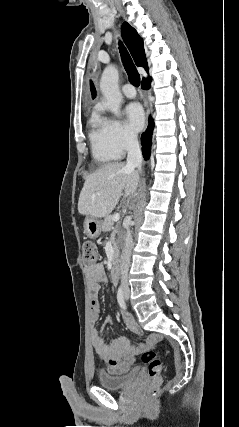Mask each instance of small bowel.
Here are the masks:
<instances>
[{"label": "small bowel", "mask_w": 239, "mask_h": 427, "mask_svg": "<svg viewBox=\"0 0 239 427\" xmlns=\"http://www.w3.org/2000/svg\"><path fill=\"white\" fill-rule=\"evenodd\" d=\"M86 276L90 289L89 317L91 323L95 324L98 321L100 314L98 292L100 290L101 284L107 281V277L104 267L100 263L87 267ZM121 315L127 330H129L134 335H142L141 328L128 312L121 311ZM110 323L111 317L107 316L100 328L92 329V344L97 355L103 362L106 363L109 373L123 374L130 370L135 360V356L138 353L157 344L159 341V336L151 335L144 342L135 346L129 345L125 338H117L108 341L104 337V330Z\"/></svg>", "instance_id": "1"}]
</instances>
